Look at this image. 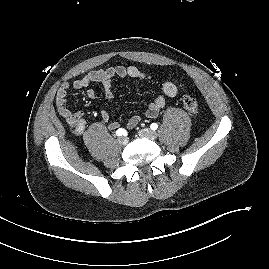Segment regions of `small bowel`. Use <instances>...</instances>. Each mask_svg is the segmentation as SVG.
<instances>
[{"label": "small bowel", "mask_w": 269, "mask_h": 269, "mask_svg": "<svg viewBox=\"0 0 269 269\" xmlns=\"http://www.w3.org/2000/svg\"><path fill=\"white\" fill-rule=\"evenodd\" d=\"M115 78H134L145 81L154 80V76L146 73L139 68L129 66H115L107 69H98L90 71L80 78L76 79L72 84L69 82H63L59 87L56 94V106L59 114L69 125L74 135L80 136L83 134L86 128V120L84 113L80 110L73 111L69 109L67 104V95L70 88L73 90H81L92 83H100L103 86L104 95L107 99L114 97L113 80ZM162 93L158 95L154 101H152L145 110V115L149 118H154L158 115L159 111L166 105V97H175L181 91H183V85L175 80L168 78L159 79ZM87 96L90 99H94L96 92L93 89L87 90ZM100 118L104 122H109L110 116L108 111L101 110ZM140 116L134 115L127 121V128L132 129L140 122ZM120 124L117 121H111L108 123V128L112 131L119 128Z\"/></svg>", "instance_id": "1"}]
</instances>
